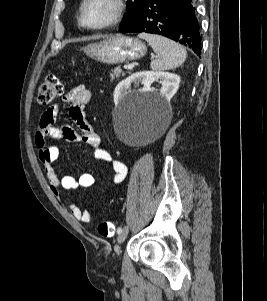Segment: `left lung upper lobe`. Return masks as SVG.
<instances>
[{
    "label": "left lung upper lobe",
    "instance_id": "left-lung-upper-lobe-1",
    "mask_svg": "<svg viewBox=\"0 0 267 301\" xmlns=\"http://www.w3.org/2000/svg\"><path fill=\"white\" fill-rule=\"evenodd\" d=\"M146 0H127L126 13L124 14L123 23L121 26L132 22L138 15Z\"/></svg>",
    "mask_w": 267,
    "mask_h": 301
}]
</instances>
